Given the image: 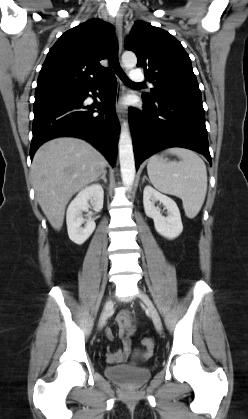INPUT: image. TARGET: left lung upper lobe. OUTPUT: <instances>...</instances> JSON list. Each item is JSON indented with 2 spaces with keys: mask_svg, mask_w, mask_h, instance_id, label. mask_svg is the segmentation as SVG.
I'll list each match as a JSON object with an SVG mask.
<instances>
[{
  "mask_svg": "<svg viewBox=\"0 0 248 419\" xmlns=\"http://www.w3.org/2000/svg\"><path fill=\"white\" fill-rule=\"evenodd\" d=\"M125 48L136 53L138 67L144 69L153 84L146 101L166 97L201 98L189 55L169 32L143 21H137L126 39Z\"/></svg>",
  "mask_w": 248,
  "mask_h": 419,
  "instance_id": "5c2ea615",
  "label": "left lung upper lobe"
}]
</instances>
